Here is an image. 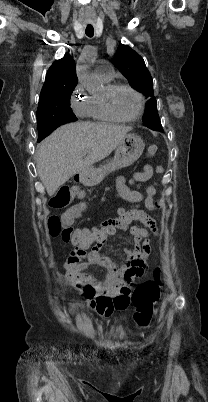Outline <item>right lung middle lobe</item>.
Returning a JSON list of instances; mask_svg holds the SVG:
<instances>
[{"instance_id": "right-lung-middle-lobe-1", "label": "right lung middle lobe", "mask_w": 208, "mask_h": 402, "mask_svg": "<svg viewBox=\"0 0 208 402\" xmlns=\"http://www.w3.org/2000/svg\"><path fill=\"white\" fill-rule=\"evenodd\" d=\"M75 86L62 88L46 93L39 98L37 109V122L45 120H58L68 123L76 121L77 118L70 108V96ZM39 132L38 142L45 138L44 132Z\"/></svg>"}]
</instances>
